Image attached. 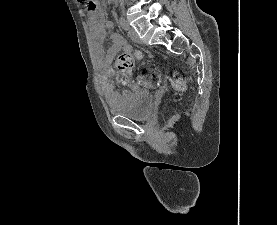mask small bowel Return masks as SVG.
I'll use <instances>...</instances> for the list:
<instances>
[{"instance_id":"obj_1","label":"small bowel","mask_w":277,"mask_h":225,"mask_svg":"<svg viewBox=\"0 0 277 225\" xmlns=\"http://www.w3.org/2000/svg\"><path fill=\"white\" fill-rule=\"evenodd\" d=\"M89 25H90V33L92 35L93 39V45L96 57L102 67L104 68V77L102 81V90L106 97V99L109 102H112L115 100V94L112 84L107 79V66L110 63V61L113 59V57L116 55V53L121 49H127V46L125 44L124 39L117 33L111 34V45L107 49L106 53L104 54L103 49L101 47V42L105 36V31L101 24V18L97 17L94 10H90V17H89ZM106 28L109 31L113 30V23L108 22L106 24ZM133 88H137L138 85L134 84L132 86Z\"/></svg>"}]
</instances>
